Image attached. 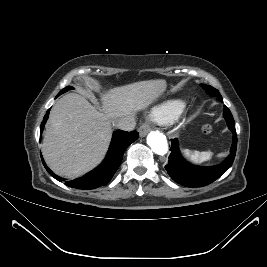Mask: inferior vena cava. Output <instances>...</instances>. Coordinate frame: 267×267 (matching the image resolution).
<instances>
[{
	"mask_svg": "<svg viewBox=\"0 0 267 267\" xmlns=\"http://www.w3.org/2000/svg\"><path fill=\"white\" fill-rule=\"evenodd\" d=\"M112 125L124 131H132L135 128L136 122L132 116H123L112 121Z\"/></svg>",
	"mask_w": 267,
	"mask_h": 267,
	"instance_id": "602c4592",
	"label": "inferior vena cava"
}]
</instances>
